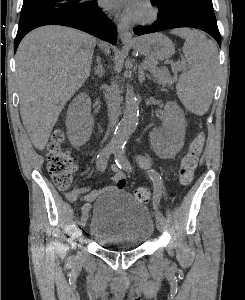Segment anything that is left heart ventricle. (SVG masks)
Here are the masks:
<instances>
[{
  "mask_svg": "<svg viewBox=\"0 0 245 300\" xmlns=\"http://www.w3.org/2000/svg\"><path fill=\"white\" fill-rule=\"evenodd\" d=\"M146 14V9L142 3L137 7L133 17H141Z\"/></svg>",
  "mask_w": 245,
  "mask_h": 300,
  "instance_id": "left-heart-ventricle-1",
  "label": "left heart ventricle"
}]
</instances>
